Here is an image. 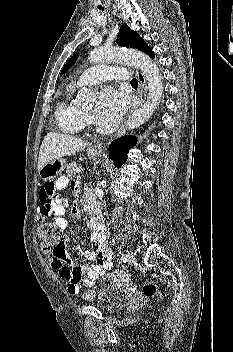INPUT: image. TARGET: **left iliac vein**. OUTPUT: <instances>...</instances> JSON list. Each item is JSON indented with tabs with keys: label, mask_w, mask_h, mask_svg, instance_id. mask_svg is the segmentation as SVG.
<instances>
[{
	"label": "left iliac vein",
	"mask_w": 233,
	"mask_h": 352,
	"mask_svg": "<svg viewBox=\"0 0 233 352\" xmlns=\"http://www.w3.org/2000/svg\"><path fill=\"white\" fill-rule=\"evenodd\" d=\"M128 262L129 263H134L135 262V256L133 253H128Z\"/></svg>",
	"instance_id": "obj_1"
}]
</instances>
